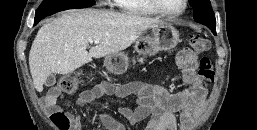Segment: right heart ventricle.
I'll use <instances>...</instances> for the list:
<instances>
[{
	"label": "right heart ventricle",
	"instance_id": "obj_1",
	"mask_svg": "<svg viewBox=\"0 0 257 130\" xmlns=\"http://www.w3.org/2000/svg\"><path fill=\"white\" fill-rule=\"evenodd\" d=\"M122 12L135 16H152L158 12L150 5L148 0H113Z\"/></svg>",
	"mask_w": 257,
	"mask_h": 130
}]
</instances>
